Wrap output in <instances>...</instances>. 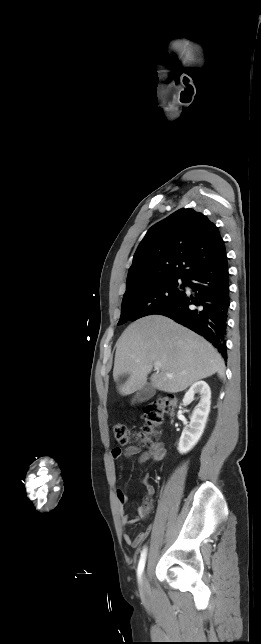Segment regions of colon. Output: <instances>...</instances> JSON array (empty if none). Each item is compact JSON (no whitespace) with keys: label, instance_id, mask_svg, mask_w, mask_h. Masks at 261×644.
Here are the masks:
<instances>
[{"label":"colon","instance_id":"5ec220e1","mask_svg":"<svg viewBox=\"0 0 261 644\" xmlns=\"http://www.w3.org/2000/svg\"><path fill=\"white\" fill-rule=\"evenodd\" d=\"M177 406V398L174 395H163L154 402L147 404L143 410L144 425L137 435V440L144 446L153 445V440L160 435V426L165 414L172 415ZM116 440L126 445L131 442V434L128 427L123 423L114 426Z\"/></svg>","mask_w":261,"mask_h":644}]
</instances>
